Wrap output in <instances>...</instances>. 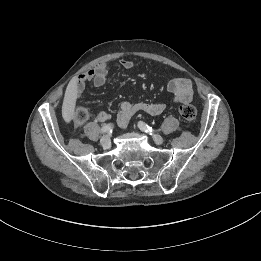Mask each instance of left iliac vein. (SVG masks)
Segmentation results:
<instances>
[{
	"instance_id": "1",
	"label": "left iliac vein",
	"mask_w": 261,
	"mask_h": 261,
	"mask_svg": "<svg viewBox=\"0 0 261 261\" xmlns=\"http://www.w3.org/2000/svg\"><path fill=\"white\" fill-rule=\"evenodd\" d=\"M152 138L154 142L158 145H161L163 143V138L158 134H152Z\"/></svg>"
}]
</instances>
